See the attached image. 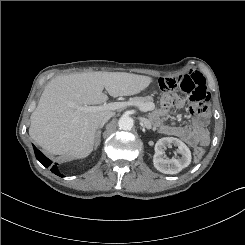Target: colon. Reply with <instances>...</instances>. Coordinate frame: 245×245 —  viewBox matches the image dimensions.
I'll use <instances>...</instances> for the list:
<instances>
[{
  "label": "colon",
  "mask_w": 245,
  "mask_h": 245,
  "mask_svg": "<svg viewBox=\"0 0 245 245\" xmlns=\"http://www.w3.org/2000/svg\"><path fill=\"white\" fill-rule=\"evenodd\" d=\"M160 94V104L163 108H169L174 104V97L171 95V90L163 91ZM205 155V150L201 147H196L193 151V158L196 162L200 161Z\"/></svg>",
  "instance_id": "colon-1"
}]
</instances>
